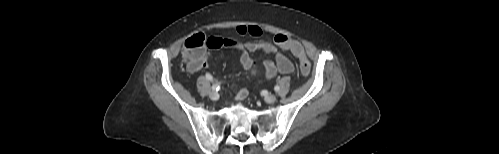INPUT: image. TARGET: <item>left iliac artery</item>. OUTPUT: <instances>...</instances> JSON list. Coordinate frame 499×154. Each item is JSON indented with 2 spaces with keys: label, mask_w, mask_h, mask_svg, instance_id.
I'll list each match as a JSON object with an SVG mask.
<instances>
[{
  "label": "left iliac artery",
  "mask_w": 499,
  "mask_h": 154,
  "mask_svg": "<svg viewBox=\"0 0 499 154\" xmlns=\"http://www.w3.org/2000/svg\"><path fill=\"white\" fill-rule=\"evenodd\" d=\"M279 89H280V87H279L278 85H276V86L274 87V90H275L276 92H277V91H279Z\"/></svg>",
  "instance_id": "left-iliac-artery-1"
}]
</instances>
